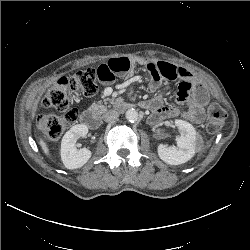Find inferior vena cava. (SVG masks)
Listing matches in <instances>:
<instances>
[{
  "instance_id": "602c4592",
  "label": "inferior vena cava",
  "mask_w": 250,
  "mask_h": 250,
  "mask_svg": "<svg viewBox=\"0 0 250 250\" xmlns=\"http://www.w3.org/2000/svg\"><path fill=\"white\" fill-rule=\"evenodd\" d=\"M119 116V113L115 110H109L103 115V119L107 123L114 122Z\"/></svg>"
}]
</instances>
